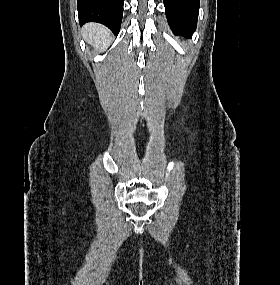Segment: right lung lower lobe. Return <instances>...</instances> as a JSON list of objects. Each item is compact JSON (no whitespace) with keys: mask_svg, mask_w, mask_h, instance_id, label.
Segmentation results:
<instances>
[{"mask_svg":"<svg viewBox=\"0 0 280 285\" xmlns=\"http://www.w3.org/2000/svg\"><path fill=\"white\" fill-rule=\"evenodd\" d=\"M124 0H77L80 25L98 22L119 33Z\"/></svg>","mask_w":280,"mask_h":285,"instance_id":"1","label":"right lung lower lobe"}]
</instances>
